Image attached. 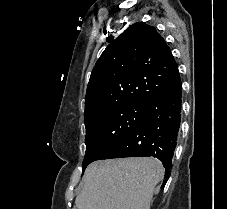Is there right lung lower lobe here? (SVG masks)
Wrapping results in <instances>:
<instances>
[{
  "instance_id": "98d812e1",
  "label": "right lung lower lobe",
  "mask_w": 227,
  "mask_h": 209,
  "mask_svg": "<svg viewBox=\"0 0 227 209\" xmlns=\"http://www.w3.org/2000/svg\"><path fill=\"white\" fill-rule=\"evenodd\" d=\"M163 72L171 85L146 102L140 122L101 159L153 156L165 167L164 188L170 177L171 161L176 147L181 113V80L177 64Z\"/></svg>"
}]
</instances>
